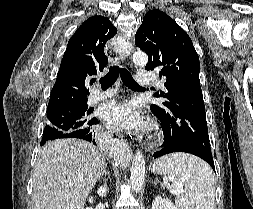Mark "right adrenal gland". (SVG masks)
I'll use <instances>...</instances> for the list:
<instances>
[{
	"instance_id": "2a0ac1e0",
	"label": "right adrenal gland",
	"mask_w": 253,
	"mask_h": 209,
	"mask_svg": "<svg viewBox=\"0 0 253 209\" xmlns=\"http://www.w3.org/2000/svg\"><path fill=\"white\" fill-rule=\"evenodd\" d=\"M103 174H105V176H107V175L109 176V171H107L106 168H105L104 171H103Z\"/></svg>"
}]
</instances>
